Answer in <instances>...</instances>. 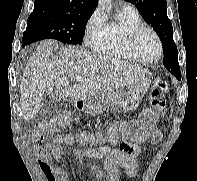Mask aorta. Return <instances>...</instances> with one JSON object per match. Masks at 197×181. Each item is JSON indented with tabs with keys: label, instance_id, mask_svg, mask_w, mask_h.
<instances>
[{
	"label": "aorta",
	"instance_id": "aorta-1",
	"mask_svg": "<svg viewBox=\"0 0 197 181\" xmlns=\"http://www.w3.org/2000/svg\"><path fill=\"white\" fill-rule=\"evenodd\" d=\"M112 0H99V4L103 6H109Z\"/></svg>",
	"mask_w": 197,
	"mask_h": 181
}]
</instances>
